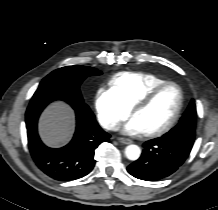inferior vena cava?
Segmentation results:
<instances>
[{
  "instance_id": "obj_1",
  "label": "inferior vena cava",
  "mask_w": 218,
  "mask_h": 210,
  "mask_svg": "<svg viewBox=\"0 0 218 210\" xmlns=\"http://www.w3.org/2000/svg\"><path fill=\"white\" fill-rule=\"evenodd\" d=\"M103 127L107 130L117 131L119 130L120 125L117 122H106Z\"/></svg>"
}]
</instances>
